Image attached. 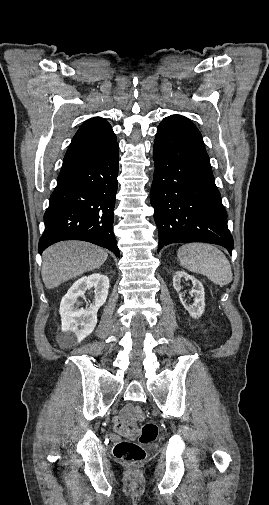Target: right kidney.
Returning a JSON list of instances; mask_svg holds the SVG:
<instances>
[{"label": "right kidney", "mask_w": 269, "mask_h": 505, "mask_svg": "<svg viewBox=\"0 0 269 505\" xmlns=\"http://www.w3.org/2000/svg\"><path fill=\"white\" fill-rule=\"evenodd\" d=\"M108 289L109 279L100 273L84 276L71 286L60 303L62 341L80 342L93 332L97 324V312L106 302ZM86 291L94 293V298L92 303L83 309L80 308L82 304L79 299H85Z\"/></svg>", "instance_id": "1"}]
</instances>
